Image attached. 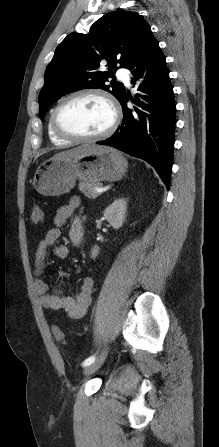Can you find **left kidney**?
Instances as JSON below:
<instances>
[{"instance_id": "obj_1", "label": "left kidney", "mask_w": 219, "mask_h": 447, "mask_svg": "<svg viewBox=\"0 0 219 447\" xmlns=\"http://www.w3.org/2000/svg\"><path fill=\"white\" fill-rule=\"evenodd\" d=\"M127 211V201L124 198L115 200L104 210V218L114 229H119L125 221ZM99 252V248L94 246L91 250V257L95 258Z\"/></svg>"}]
</instances>
